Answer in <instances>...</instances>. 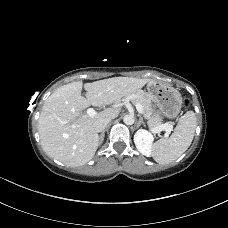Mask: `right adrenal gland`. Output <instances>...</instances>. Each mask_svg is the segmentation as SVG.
Here are the masks:
<instances>
[{
    "mask_svg": "<svg viewBox=\"0 0 228 228\" xmlns=\"http://www.w3.org/2000/svg\"><path fill=\"white\" fill-rule=\"evenodd\" d=\"M105 131L106 130H103L102 133L100 134L99 136V144L101 145L104 141V136H105Z\"/></svg>",
    "mask_w": 228,
    "mask_h": 228,
    "instance_id": "2a0ac1e0",
    "label": "right adrenal gland"
}]
</instances>
